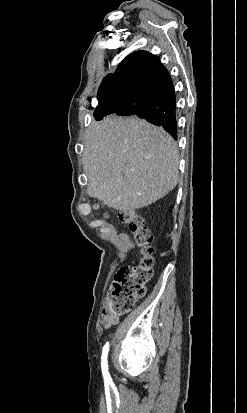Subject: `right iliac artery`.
I'll use <instances>...</instances> for the list:
<instances>
[{
  "label": "right iliac artery",
  "mask_w": 247,
  "mask_h": 413,
  "mask_svg": "<svg viewBox=\"0 0 247 413\" xmlns=\"http://www.w3.org/2000/svg\"><path fill=\"white\" fill-rule=\"evenodd\" d=\"M108 351H109V342H107L102 351V357H101V367H102V373L104 378L109 377V372H108V363H107V356H108Z\"/></svg>",
  "instance_id": "82829eb1"
}]
</instances>
